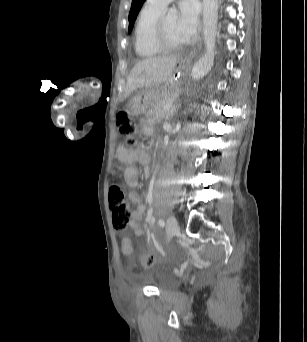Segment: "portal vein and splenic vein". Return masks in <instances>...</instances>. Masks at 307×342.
I'll list each match as a JSON object with an SVG mask.
<instances>
[{
	"label": "portal vein and splenic vein",
	"mask_w": 307,
	"mask_h": 342,
	"mask_svg": "<svg viewBox=\"0 0 307 342\" xmlns=\"http://www.w3.org/2000/svg\"><path fill=\"white\" fill-rule=\"evenodd\" d=\"M169 109H170V108H169L168 106H164V107H163V110H164V111H168Z\"/></svg>",
	"instance_id": "portal-vein-and-splenic-vein-1"
}]
</instances>
